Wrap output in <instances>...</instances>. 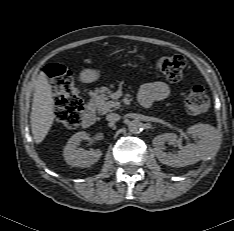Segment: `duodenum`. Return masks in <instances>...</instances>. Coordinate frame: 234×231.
I'll return each mask as SVG.
<instances>
[{"label":"duodenum","mask_w":234,"mask_h":231,"mask_svg":"<svg viewBox=\"0 0 234 231\" xmlns=\"http://www.w3.org/2000/svg\"><path fill=\"white\" fill-rule=\"evenodd\" d=\"M96 122V113L92 107H87L82 113V124L85 127H90Z\"/></svg>","instance_id":"duodenum-1"}]
</instances>
